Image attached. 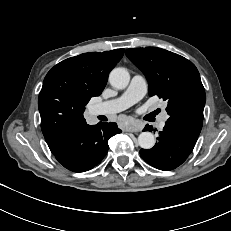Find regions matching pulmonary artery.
Segmentation results:
<instances>
[{
  "instance_id": "e3ab8cb5",
  "label": "pulmonary artery",
  "mask_w": 231,
  "mask_h": 231,
  "mask_svg": "<svg viewBox=\"0 0 231 231\" xmlns=\"http://www.w3.org/2000/svg\"><path fill=\"white\" fill-rule=\"evenodd\" d=\"M147 91L145 79L141 75H134L125 92L116 99L105 101L91 107L92 115H110L121 112L141 100ZM168 119V114L163 113L158 127L163 129Z\"/></svg>"
}]
</instances>
